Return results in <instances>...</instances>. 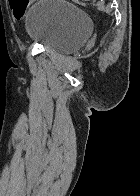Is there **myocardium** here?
Segmentation results:
<instances>
[{
  "mask_svg": "<svg viewBox=\"0 0 140 196\" xmlns=\"http://www.w3.org/2000/svg\"><path fill=\"white\" fill-rule=\"evenodd\" d=\"M35 192H48V191H35ZM49 192H67V191H49Z\"/></svg>",
  "mask_w": 140,
  "mask_h": 196,
  "instance_id": "obj_1",
  "label": "myocardium"
}]
</instances>
